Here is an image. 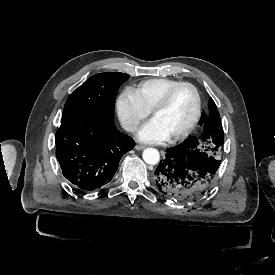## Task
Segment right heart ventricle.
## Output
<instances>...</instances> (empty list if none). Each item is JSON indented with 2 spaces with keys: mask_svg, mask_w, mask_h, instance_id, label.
I'll return each mask as SVG.
<instances>
[{
  "mask_svg": "<svg viewBox=\"0 0 275 275\" xmlns=\"http://www.w3.org/2000/svg\"><path fill=\"white\" fill-rule=\"evenodd\" d=\"M178 81L170 78L160 77L151 78L140 82L135 88L134 92L142 102V104L152 111L156 103L162 97L164 92Z\"/></svg>",
  "mask_w": 275,
  "mask_h": 275,
  "instance_id": "right-heart-ventricle-1",
  "label": "right heart ventricle"
}]
</instances>
